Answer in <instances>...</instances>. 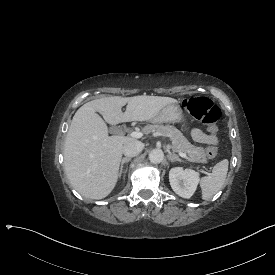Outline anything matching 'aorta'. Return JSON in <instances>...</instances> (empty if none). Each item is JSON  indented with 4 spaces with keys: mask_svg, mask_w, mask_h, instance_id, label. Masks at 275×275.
Returning <instances> with one entry per match:
<instances>
[{
    "mask_svg": "<svg viewBox=\"0 0 275 275\" xmlns=\"http://www.w3.org/2000/svg\"><path fill=\"white\" fill-rule=\"evenodd\" d=\"M163 158H164V153L161 149H153L149 153V160L154 164L162 162Z\"/></svg>",
    "mask_w": 275,
    "mask_h": 275,
    "instance_id": "obj_1",
    "label": "aorta"
}]
</instances>
